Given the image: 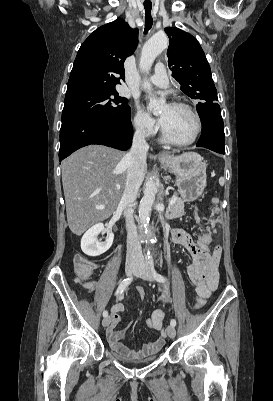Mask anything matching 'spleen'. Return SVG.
I'll return each mask as SVG.
<instances>
[{"instance_id":"spleen-1","label":"spleen","mask_w":273,"mask_h":401,"mask_svg":"<svg viewBox=\"0 0 273 401\" xmlns=\"http://www.w3.org/2000/svg\"><path fill=\"white\" fill-rule=\"evenodd\" d=\"M224 182H225L224 176H220V178H219V184H221V186H223Z\"/></svg>"}]
</instances>
